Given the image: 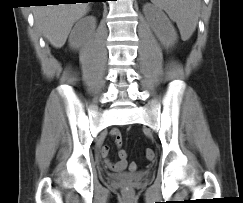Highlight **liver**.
<instances>
[{"label":"liver","instance_id":"1","mask_svg":"<svg viewBox=\"0 0 243 203\" xmlns=\"http://www.w3.org/2000/svg\"><path fill=\"white\" fill-rule=\"evenodd\" d=\"M87 3L36 6L34 19L37 29L55 48H61L76 21L88 12Z\"/></svg>","mask_w":243,"mask_h":203}]
</instances>
